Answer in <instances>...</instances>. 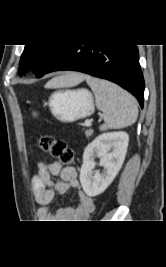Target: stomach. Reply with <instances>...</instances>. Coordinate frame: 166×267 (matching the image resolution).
Here are the masks:
<instances>
[{
    "mask_svg": "<svg viewBox=\"0 0 166 267\" xmlns=\"http://www.w3.org/2000/svg\"><path fill=\"white\" fill-rule=\"evenodd\" d=\"M52 114L62 122H74L94 113L92 93L87 89H61L49 97Z\"/></svg>",
    "mask_w": 166,
    "mask_h": 267,
    "instance_id": "0dacf381",
    "label": "stomach"
}]
</instances>
